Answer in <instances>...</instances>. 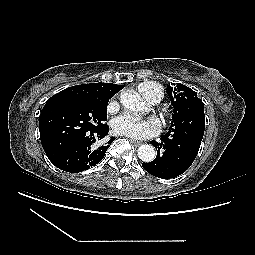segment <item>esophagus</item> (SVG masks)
Returning <instances> with one entry per match:
<instances>
[{"label":"esophagus","instance_id":"esophagus-1","mask_svg":"<svg viewBox=\"0 0 255 255\" xmlns=\"http://www.w3.org/2000/svg\"><path fill=\"white\" fill-rule=\"evenodd\" d=\"M130 141L134 144V145H136V146H138V145H141V141H139V140H135V139H130Z\"/></svg>","mask_w":255,"mask_h":255}]
</instances>
